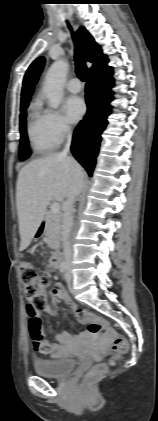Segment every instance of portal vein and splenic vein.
Wrapping results in <instances>:
<instances>
[{"mask_svg": "<svg viewBox=\"0 0 158 421\" xmlns=\"http://www.w3.org/2000/svg\"><path fill=\"white\" fill-rule=\"evenodd\" d=\"M51 211H52L54 214H58V213H59V211H60V205H59V203H53V204L51 205Z\"/></svg>", "mask_w": 158, "mask_h": 421, "instance_id": "obj_1", "label": "portal vein and splenic vein"}]
</instances>
